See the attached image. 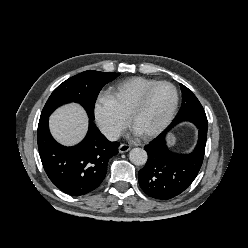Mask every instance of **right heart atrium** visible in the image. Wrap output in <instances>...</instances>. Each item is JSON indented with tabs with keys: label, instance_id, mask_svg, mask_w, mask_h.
Here are the masks:
<instances>
[{
	"label": "right heart atrium",
	"instance_id": "1",
	"mask_svg": "<svg viewBox=\"0 0 248 248\" xmlns=\"http://www.w3.org/2000/svg\"><path fill=\"white\" fill-rule=\"evenodd\" d=\"M93 115L101 132L111 140L120 137L127 126V117L119 111L112 98L106 93H100L96 97Z\"/></svg>",
	"mask_w": 248,
	"mask_h": 248
}]
</instances>
